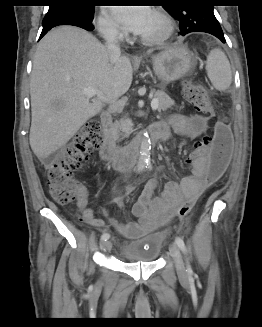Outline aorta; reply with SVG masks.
Wrapping results in <instances>:
<instances>
[{
    "label": "aorta",
    "mask_w": 262,
    "mask_h": 327,
    "mask_svg": "<svg viewBox=\"0 0 262 327\" xmlns=\"http://www.w3.org/2000/svg\"><path fill=\"white\" fill-rule=\"evenodd\" d=\"M150 149H151L150 142L148 141V139L144 138L140 146V157L137 165L138 171H142L147 167Z\"/></svg>",
    "instance_id": "obj_1"
}]
</instances>
